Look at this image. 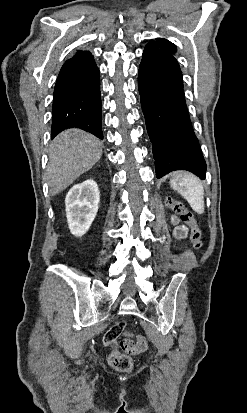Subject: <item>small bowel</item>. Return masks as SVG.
Wrapping results in <instances>:
<instances>
[{"label": "small bowel", "mask_w": 247, "mask_h": 413, "mask_svg": "<svg viewBox=\"0 0 247 413\" xmlns=\"http://www.w3.org/2000/svg\"><path fill=\"white\" fill-rule=\"evenodd\" d=\"M172 223L176 224L177 219L173 218ZM187 228L185 226H176L174 229V236L177 239H183L187 236ZM126 329V324L124 322H117L115 324V329H109L107 334L103 336V341L107 343L108 348L114 347V338H117L119 335L118 331H124Z\"/></svg>", "instance_id": "1"}]
</instances>
